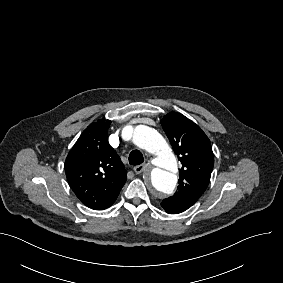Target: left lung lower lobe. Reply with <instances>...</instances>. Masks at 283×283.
Instances as JSON below:
<instances>
[{"instance_id":"1","label":"left lung lower lobe","mask_w":283,"mask_h":283,"mask_svg":"<svg viewBox=\"0 0 283 283\" xmlns=\"http://www.w3.org/2000/svg\"><path fill=\"white\" fill-rule=\"evenodd\" d=\"M162 207H163V209H164L167 213H169V214H178V213L183 212V211H181V210L169 208V207H167V206H165V205H162Z\"/></svg>"}]
</instances>
